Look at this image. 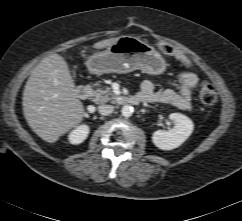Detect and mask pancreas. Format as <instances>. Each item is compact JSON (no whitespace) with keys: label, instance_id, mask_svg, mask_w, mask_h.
<instances>
[{"label":"pancreas","instance_id":"obj_1","mask_svg":"<svg viewBox=\"0 0 242 221\" xmlns=\"http://www.w3.org/2000/svg\"><path fill=\"white\" fill-rule=\"evenodd\" d=\"M95 86L98 88L92 91V101L96 104H103L108 101L115 103L120 99V97L115 95L109 87H106L105 89L99 88L98 83H96Z\"/></svg>","mask_w":242,"mask_h":221}]
</instances>
